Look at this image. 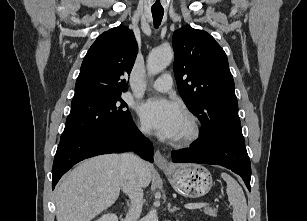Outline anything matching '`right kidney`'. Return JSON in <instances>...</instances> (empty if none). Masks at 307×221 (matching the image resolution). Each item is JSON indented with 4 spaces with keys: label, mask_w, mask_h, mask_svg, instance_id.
Instances as JSON below:
<instances>
[{
    "label": "right kidney",
    "mask_w": 307,
    "mask_h": 221,
    "mask_svg": "<svg viewBox=\"0 0 307 221\" xmlns=\"http://www.w3.org/2000/svg\"><path fill=\"white\" fill-rule=\"evenodd\" d=\"M96 221H118V217L115 214L108 213V214H104Z\"/></svg>",
    "instance_id": "obj_1"
}]
</instances>
